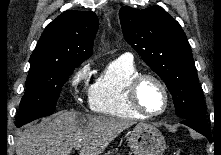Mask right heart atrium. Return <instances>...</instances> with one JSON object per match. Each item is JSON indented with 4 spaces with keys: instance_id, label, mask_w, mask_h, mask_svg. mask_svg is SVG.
<instances>
[{
    "instance_id": "right-heart-atrium-1",
    "label": "right heart atrium",
    "mask_w": 221,
    "mask_h": 155,
    "mask_svg": "<svg viewBox=\"0 0 221 155\" xmlns=\"http://www.w3.org/2000/svg\"><path fill=\"white\" fill-rule=\"evenodd\" d=\"M89 73H90V64H83L78 69H76L70 79L71 87L74 90H77L79 87L84 86Z\"/></svg>"
}]
</instances>
